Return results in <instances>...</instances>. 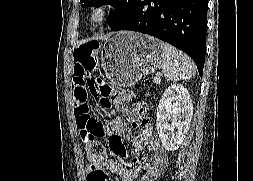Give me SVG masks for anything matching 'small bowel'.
I'll use <instances>...</instances> for the list:
<instances>
[{
    "label": "small bowel",
    "mask_w": 253,
    "mask_h": 181,
    "mask_svg": "<svg viewBox=\"0 0 253 181\" xmlns=\"http://www.w3.org/2000/svg\"><path fill=\"white\" fill-rule=\"evenodd\" d=\"M89 77V69L77 63L74 65L72 96L75 115L80 97L86 91ZM131 100V94H121L116 103L121 106ZM120 112L121 114L111 121L109 131V145L115 158L106 159L100 164V167H93L88 163L86 167L87 179L88 181H112V178H109V173H112L120 176L122 181H154L167 167L168 155L161 147L157 136L152 133L151 124L145 117L144 104L142 102L134 103L131 112L126 107H120ZM129 115L131 122L142 129L141 133L133 140L132 156H140L144 147H147L149 151V154L132 168H126L122 163V158L126 154L122 138L125 135L126 120Z\"/></svg>",
    "instance_id": "1"
}]
</instances>
